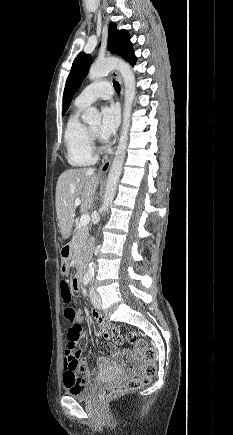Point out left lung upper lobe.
Masks as SVG:
<instances>
[{"instance_id":"5c2ea615","label":"left lung upper lobe","mask_w":233,"mask_h":435,"mask_svg":"<svg viewBox=\"0 0 233 435\" xmlns=\"http://www.w3.org/2000/svg\"><path fill=\"white\" fill-rule=\"evenodd\" d=\"M129 34L126 30H117L115 23H110L108 33V50L120 55L131 65H134L136 58L133 54L132 44L129 41ZM92 57L90 54L80 53L72 64L70 74L67 78L63 93V115L68 110L71 99L77 88L82 84L87 75Z\"/></svg>"}]
</instances>
